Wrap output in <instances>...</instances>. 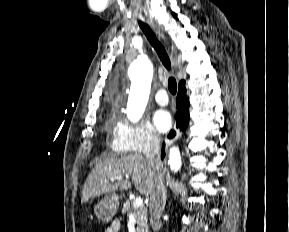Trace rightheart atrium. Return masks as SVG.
Instances as JSON below:
<instances>
[{
	"label": "right heart atrium",
	"instance_id": "obj_1",
	"mask_svg": "<svg viewBox=\"0 0 289 232\" xmlns=\"http://www.w3.org/2000/svg\"><path fill=\"white\" fill-rule=\"evenodd\" d=\"M161 138L148 122L137 125L118 119L112 131V149L116 153L141 154L157 149Z\"/></svg>",
	"mask_w": 289,
	"mask_h": 232
}]
</instances>
